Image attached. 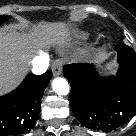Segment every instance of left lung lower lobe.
Masks as SVG:
<instances>
[{"label": "left lung lower lobe", "instance_id": "1", "mask_svg": "<svg viewBox=\"0 0 136 136\" xmlns=\"http://www.w3.org/2000/svg\"><path fill=\"white\" fill-rule=\"evenodd\" d=\"M117 75L107 79L97 76L93 65L72 64L64 67L71 84V110L89 129L112 130L136 112V56L134 50L120 43Z\"/></svg>", "mask_w": 136, "mask_h": 136}]
</instances>
